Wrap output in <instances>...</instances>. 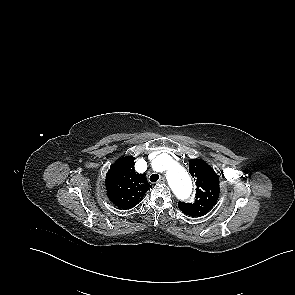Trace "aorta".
I'll return each mask as SVG.
<instances>
[{"instance_id":"762f6f07","label":"aorta","mask_w":295,"mask_h":295,"mask_svg":"<svg viewBox=\"0 0 295 295\" xmlns=\"http://www.w3.org/2000/svg\"><path fill=\"white\" fill-rule=\"evenodd\" d=\"M160 160L174 194L180 199H187L192 191V183L187 171L166 154L162 155Z\"/></svg>"}]
</instances>
